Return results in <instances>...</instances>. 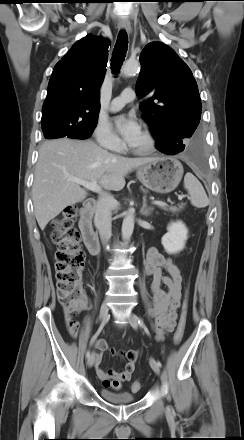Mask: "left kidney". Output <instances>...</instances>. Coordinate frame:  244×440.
<instances>
[{"instance_id":"left-kidney-1","label":"left kidney","mask_w":244,"mask_h":440,"mask_svg":"<svg viewBox=\"0 0 244 440\" xmlns=\"http://www.w3.org/2000/svg\"><path fill=\"white\" fill-rule=\"evenodd\" d=\"M187 239L188 229L182 221H177L168 225L161 243L168 254H177L184 249Z\"/></svg>"}]
</instances>
